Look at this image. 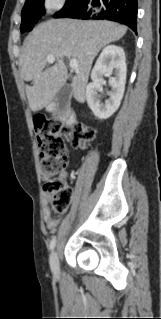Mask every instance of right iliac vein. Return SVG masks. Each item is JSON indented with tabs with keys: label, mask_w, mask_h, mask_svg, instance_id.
I'll return each mask as SVG.
<instances>
[{
	"label": "right iliac vein",
	"mask_w": 161,
	"mask_h": 319,
	"mask_svg": "<svg viewBox=\"0 0 161 319\" xmlns=\"http://www.w3.org/2000/svg\"><path fill=\"white\" fill-rule=\"evenodd\" d=\"M50 267L52 270V273L57 276L60 273L59 269V259H58V253L56 250H54L50 255Z\"/></svg>",
	"instance_id": "1"
}]
</instances>
